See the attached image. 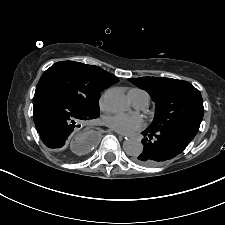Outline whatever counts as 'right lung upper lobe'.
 <instances>
[{"mask_svg":"<svg viewBox=\"0 0 225 225\" xmlns=\"http://www.w3.org/2000/svg\"><path fill=\"white\" fill-rule=\"evenodd\" d=\"M89 71L92 73L94 78L98 80L100 83L104 84L107 86V88L119 81V79L108 73L107 71L103 70L100 67L97 66H92V65H86Z\"/></svg>","mask_w":225,"mask_h":225,"instance_id":"right-lung-upper-lobe-1","label":"right lung upper lobe"}]
</instances>
